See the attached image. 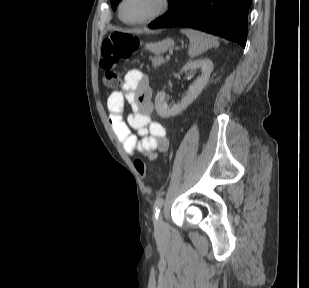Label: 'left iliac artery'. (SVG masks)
Segmentation results:
<instances>
[{"label": "left iliac artery", "instance_id": "obj_1", "mask_svg": "<svg viewBox=\"0 0 309 288\" xmlns=\"http://www.w3.org/2000/svg\"><path fill=\"white\" fill-rule=\"evenodd\" d=\"M163 198L159 197L156 199L155 203H154V215L156 217V219L158 218L159 212H160V208L163 205Z\"/></svg>", "mask_w": 309, "mask_h": 288}]
</instances>
